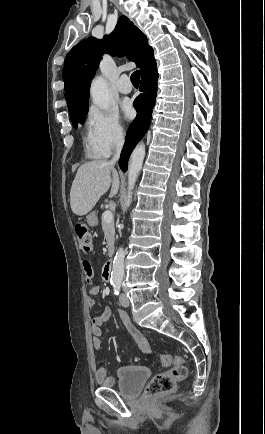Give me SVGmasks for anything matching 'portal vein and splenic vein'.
<instances>
[{"instance_id":"obj_1","label":"portal vein and splenic vein","mask_w":265,"mask_h":434,"mask_svg":"<svg viewBox=\"0 0 265 434\" xmlns=\"http://www.w3.org/2000/svg\"><path fill=\"white\" fill-rule=\"evenodd\" d=\"M102 220H104V222H113L112 212H109V210H106V212H104V214L102 216Z\"/></svg>"}]
</instances>
